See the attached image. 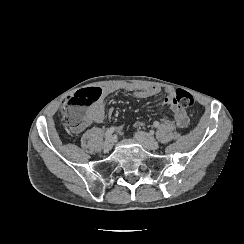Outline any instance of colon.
<instances>
[{
	"mask_svg": "<svg viewBox=\"0 0 244 244\" xmlns=\"http://www.w3.org/2000/svg\"><path fill=\"white\" fill-rule=\"evenodd\" d=\"M101 96L100 89L90 85L79 92L72 93L68 98V106L63 105L62 114L69 128L80 131L88 123L87 105L97 101ZM171 104L183 107H191L194 104L193 95L185 89H177L171 98Z\"/></svg>",
	"mask_w": 244,
	"mask_h": 244,
	"instance_id": "obj_1",
	"label": "colon"
}]
</instances>
